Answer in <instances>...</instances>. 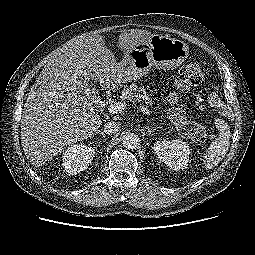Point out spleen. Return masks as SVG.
Here are the masks:
<instances>
[{
    "instance_id": "obj_1",
    "label": "spleen",
    "mask_w": 255,
    "mask_h": 255,
    "mask_svg": "<svg viewBox=\"0 0 255 255\" xmlns=\"http://www.w3.org/2000/svg\"><path fill=\"white\" fill-rule=\"evenodd\" d=\"M217 128L220 133L210 144L204 155V167L206 169H212L216 166L226 155L229 148V139L231 137L229 126L223 120H220L217 124Z\"/></svg>"
}]
</instances>
